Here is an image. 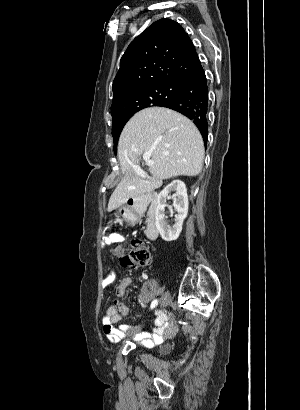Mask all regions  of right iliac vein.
<instances>
[{"label":"right iliac vein","instance_id":"1","mask_svg":"<svg viewBox=\"0 0 300 410\" xmlns=\"http://www.w3.org/2000/svg\"><path fill=\"white\" fill-rule=\"evenodd\" d=\"M169 301H170V294L168 292H165L160 299V307L163 308L167 306ZM139 329H140V326L136 327V330H139Z\"/></svg>","mask_w":300,"mask_h":410}]
</instances>
